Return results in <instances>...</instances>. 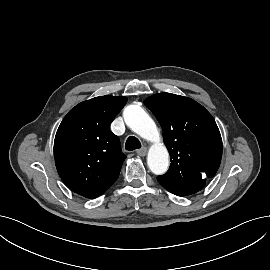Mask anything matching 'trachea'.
Instances as JSON below:
<instances>
[{
  "label": "trachea",
  "instance_id": "trachea-1",
  "mask_svg": "<svg viewBox=\"0 0 270 270\" xmlns=\"http://www.w3.org/2000/svg\"><path fill=\"white\" fill-rule=\"evenodd\" d=\"M125 148H126L128 151H133V150H135V149L141 148V143H140V141H139L136 137L130 136V137L126 140Z\"/></svg>",
  "mask_w": 270,
  "mask_h": 270
}]
</instances>
